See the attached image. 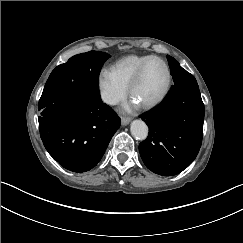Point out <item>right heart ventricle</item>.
Here are the masks:
<instances>
[{
	"mask_svg": "<svg viewBox=\"0 0 243 243\" xmlns=\"http://www.w3.org/2000/svg\"><path fill=\"white\" fill-rule=\"evenodd\" d=\"M154 56L153 54H129L116 60L111 67L120 83L127 88L140 64Z\"/></svg>",
	"mask_w": 243,
	"mask_h": 243,
	"instance_id": "1",
	"label": "right heart ventricle"
}]
</instances>
